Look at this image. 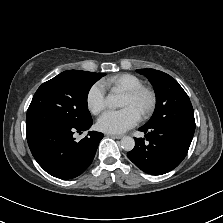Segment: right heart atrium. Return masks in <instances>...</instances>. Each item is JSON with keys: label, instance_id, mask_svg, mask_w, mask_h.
<instances>
[{"label": "right heart atrium", "instance_id": "right-heart-atrium-1", "mask_svg": "<svg viewBox=\"0 0 223 223\" xmlns=\"http://www.w3.org/2000/svg\"><path fill=\"white\" fill-rule=\"evenodd\" d=\"M106 86L103 82L92 84L86 95V104L89 111L93 114H99L106 106Z\"/></svg>", "mask_w": 223, "mask_h": 223}]
</instances>
